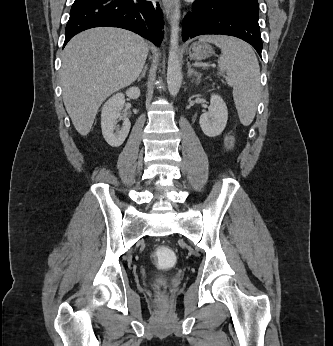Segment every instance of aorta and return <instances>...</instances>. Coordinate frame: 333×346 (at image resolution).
Here are the masks:
<instances>
[{
	"instance_id": "aorta-1",
	"label": "aorta",
	"mask_w": 333,
	"mask_h": 346,
	"mask_svg": "<svg viewBox=\"0 0 333 346\" xmlns=\"http://www.w3.org/2000/svg\"><path fill=\"white\" fill-rule=\"evenodd\" d=\"M179 19L180 3L179 0H175V7L171 20L170 50L167 68L168 90L172 96L177 95L182 82L181 67L178 55Z\"/></svg>"
}]
</instances>
